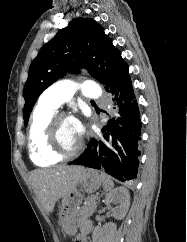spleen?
<instances>
[{
  "instance_id": "1",
  "label": "spleen",
  "mask_w": 187,
  "mask_h": 242,
  "mask_svg": "<svg viewBox=\"0 0 187 242\" xmlns=\"http://www.w3.org/2000/svg\"><path fill=\"white\" fill-rule=\"evenodd\" d=\"M102 181H103V188L105 191H111L114 187V183L108 175L105 173H101Z\"/></svg>"
}]
</instances>
